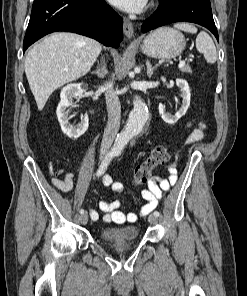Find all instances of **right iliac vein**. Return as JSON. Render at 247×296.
<instances>
[{
  "label": "right iliac vein",
  "instance_id": "right-iliac-vein-1",
  "mask_svg": "<svg viewBox=\"0 0 247 296\" xmlns=\"http://www.w3.org/2000/svg\"><path fill=\"white\" fill-rule=\"evenodd\" d=\"M80 221L82 224H86L88 222V215L87 214H83L80 216Z\"/></svg>",
  "mask_w": 247,
  "mask_h": 296
}]
</instances>
